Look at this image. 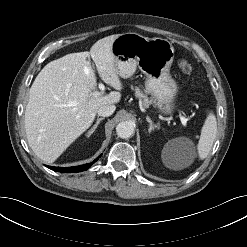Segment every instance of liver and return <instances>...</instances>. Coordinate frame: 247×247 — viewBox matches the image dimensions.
<instances>
[{"mask_svg":"<svg viewBox=\"0 0 247 247\" xmlns=\"http://www.w3.org/2000/svg\"><path fill=\"white\" fill-rule=\"evenodd\" d=\"M118 36L98 40L90 52L71 53L49 62L35 78L25 110V130L29 146L44 162L53 163L84 133L100 106L120 101L122 83L112 51ZM90 56L101 79L117 91L97 95Z\"/></svg>","mask_w":247,"mask_h":247,"instance_id":"1","label":"liver"}]
</instances>
